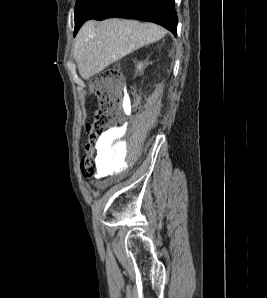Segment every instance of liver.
Wrapping results in <instances>:
<instances>
[{"instance_id": "6515ba94", "label": "liver", "mask_w": 267, "mask_h": 298, "mask_svg": "<svg viewBox=\"0 0 267 298\" xmlns=\"http://www.w3.org/2000/svg\"><path fill=\"white\" fill-rule=\"evenodd\" d=\"M165 30L153 23L135 20H89L79 30L74 45V59L83 79L100 73L112 63L165 35Z\"/></svg>"}]
</instances>
